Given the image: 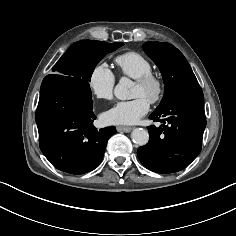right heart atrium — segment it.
<instances>
[{
    "label": "right heart atrium",
    "mask_w": 236,
    "mask_h": 236,
    "mask_svg": "<svg viewBox=\"0 0 236 236\" xmlns=\"http://www.w3.org/2000/svg\"><path fill=\"white\" fill-rule=\"evenodd\" d=\"M115 82V74L104 62L95 64L87 79L90 92L98 99H110L113 95Z\"/></svg>",
    "instance_id": "d8ad5b80"
}]
</instances>
